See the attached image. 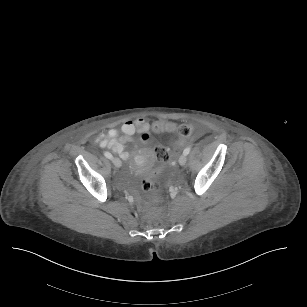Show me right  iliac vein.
I'll return each instance as SVG.
<instances>
[{
    "instance_id": "obj_1",
    "label": "right iliac vein",
    "mask_w": 307,
    "mask_h": 307,
    "mask_svg": "<svg viewBox=\"0 0 307 307\" xmlns=\"http://www.w3.org/2000/svg\"><path fill=\"white\" fill-rule=\"evenodd\" d=\"M111 160H112V163H113L114 166H116V167H118V168L121 166V161H120L119 158H117V157H112Z\"/></svg>"
}]
</instances>
